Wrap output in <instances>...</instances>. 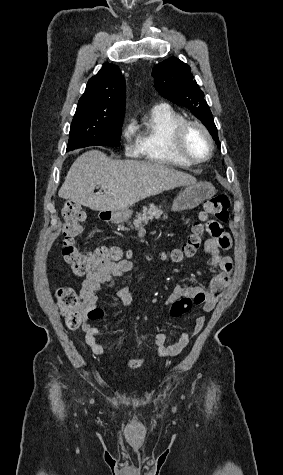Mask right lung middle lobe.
I'll list each match as a JSON object with an SVG mask.
<instances>
[{
  "label": "right lung middle lobe",
  "instance_id": "obj_1",
  "mask_svg": "<svg viewBox=\"0 0 283 475\" xmlns=\"http://www.w3.org/2000/svg\"><path fill=\"white\" fill-rule=\"evenodd\" d=\"M124 106L78 103L70 128L67 151L93 145L118 147Z\"/></svg>",
  "mask_w": 283,
  "mask_h": 475
}]
</instances>
